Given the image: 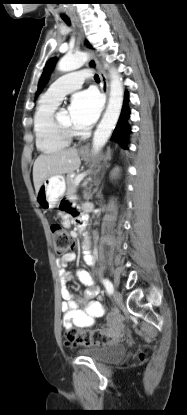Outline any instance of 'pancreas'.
<instances>
[{
    "label": "pancreas",
    "mask_w": 187,
    "mask_h": 415,
    "mask_svg": "<svg viewBox=\"0 0 187 415\" xmlns=\"http://www.w3.org/2000/svg\"><path fill=\"white\" fill-rule=\"evenodd\" d=\"M75 178L76 177H72L71 174H68L66 177V184H67L66 196L67 197L73 196L77 191L78 185H75Z\"/></svg>",
    "instance_id": "pancreas-1"
}]
</instances>
